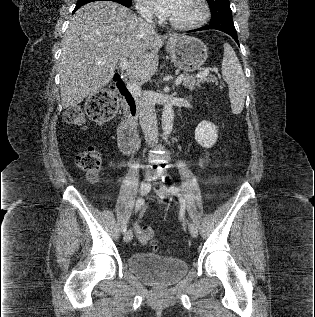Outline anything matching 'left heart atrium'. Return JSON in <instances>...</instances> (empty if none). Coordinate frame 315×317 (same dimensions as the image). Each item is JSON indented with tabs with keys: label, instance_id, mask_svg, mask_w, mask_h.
I'll return each instance as SVG.
<instances>
[{
	"label": "left heart atrium",
	"instance_id": "1",
	"mask_svg": "<svg viewBox=\"0 0 315 317\" xmlns=\"http://www.w3.org/2000/svg\"><path fill=\"white\" fill-rule=\"evenodd\" d=\"M180 0H148L152 9L160 16L171 18Z\"/></svg>",
	"mask_w": 315,
	"mask_h": 317
}]
</instances>
